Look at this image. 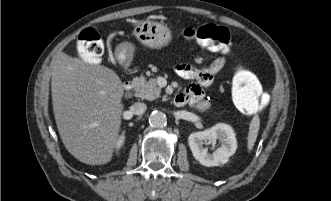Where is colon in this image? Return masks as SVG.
Segmentation results:
<instances>
[{
	"label": "colon",
	"instance_id": "obj_1",
	"mask_svg": "<svg viewBox=\"0 0 331 201\" xmlns=\"http://www.w3.org/2000/svg\"><path fill=\"white\" fill-rule=\"evenodd\" d=\"M185 36L215 52L227 53L231 46L229 30L215 24L187 28ZM77 48L81 58L90 64L98 63L104 52L102 39L94 29H85L80 33ZM232 97L237 108L249 115L260 112L269 103V96L263 91L258 78L243 68L234 73Z\"/></svg>",
	"mask_w": 331,
	"mask_h": 201
}]
</instances>
